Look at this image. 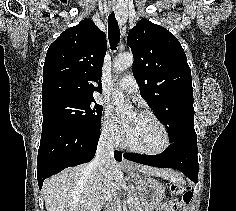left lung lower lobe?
Here are the masks:
<instances>
[{
  "mask_svg": "<svg viewBox=\"0 0 236 211\" xmlns=\"http://www.w3.org/2000/svg\"><path fill=\"white\" fill-rule=\"evenodd\" d=\"M124 157L141 164L178 169L193 182H198L197 145L173 144L168 150L159 155L125 153Z\"/></svg>",
  "mask_w": 236,
  "mask_h": 211,
  "instance_id": "1",
  "label": "left lung lower lobe"
}]
</instances>
